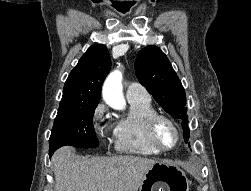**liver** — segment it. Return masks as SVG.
Returning <instances> with one entry per match:
<instances>
[{
	"label": "liver",
	"instance_id": "1",
	"mask_svg": "<svg viewBox=\"0 0 251 191\" xmlns=\"http://www.w3.org/2000/svg\"><path fill=\"white\" fill-rule=\"evenodd\" d=\"M64 145L52 155L54 191H138L144 173L157 159L136 155L78 157Z\"/></svg>",
	"mask_w": 251,
	"mask_h": 191
}]
</instances>
